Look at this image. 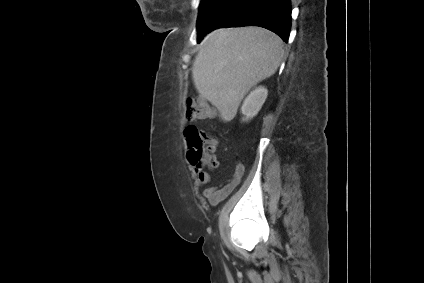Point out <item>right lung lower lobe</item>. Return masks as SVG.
Instances as JSON below:
<instances>
[{
	"instance_id": "1",
	"label": "right lung lower lobe",
	"mask_w": 424,
	"mask_h": 283,
	"mask_svg": "<svg viewBox=\"0 0 424 283\" xmlns=\"http://www.w3.org/2000/svg\"><path fill=\"white\" fill-rule=\"evenodd\" d=\"M242 26L266 28L287 42L291 28L290 0H228L223 8L197 31L198 42L216 28Z\"/></svg>"
}]
</instances>
